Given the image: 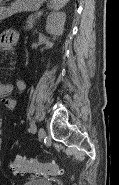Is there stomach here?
Returning a JSON list of instances; mask_svg holds the SVG:
<instances>
[{"label": "stomach", "instance_id": "1", "mask_svg": "<svg viewBox=\"0 0 119 185\" xmlns=\"http://www.w3.org/2000/svg\"><path fill=\"white\" fill-rule=\"evenodd\" d=\"M0 0V21L23 11H37L45 0H16L10 6H4Z\"/></svg>", "mask_w": 119, "mask_h": 185}]
</instances>
